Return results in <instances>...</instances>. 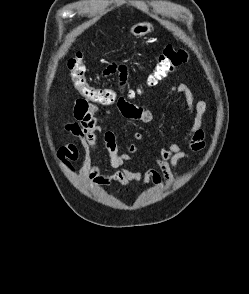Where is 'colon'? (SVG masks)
I'll use <instances>...</instances> for the list:
<instances>
[{"label":"colon","instance_id":"colon-1","mask_svg":"<svg viewBox=\"0 0 249 294\" xmlns=\"http://www.w3.org/2000/svg\"><path fill=\"white\" fill-rule=\"evenodd\" d=\"M187 60L188 53L185 49L167 45L159 54L156 64L148 76L147 84L149 86L158 85L179 66L186 63ZM66 68L74 89L89 103L110 105L120 98L118 93L112 88H96L89 84L82 54H76L74 57L70 58ZM125 68L124 65L112 64L105 72L108 74L119 73ZM132 94L133 92L130 91L129 96Z\"/></svg>","mask_w":249,"mask_h":294}]
</instances>
